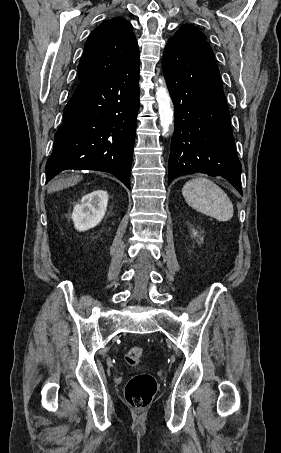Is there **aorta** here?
<instances>
[{
	"mask_svg": "<svg viewBox=\"0 0 281 453\" xmlns=\"http://www.w3.org/2000/svg\"><path fill=\"white\" fill-rule=\"evenodd\" d=\"M159 83L160 86L156 85V100L158 103L160 125L164 135L169 130V126L173 123L174 111L172 109V100L167 88L161 80H159Z\"/></svg>",
	"mask_w": 281,
	"mask_h": 453,
	"instance_id": "1",
	"label": "aorta"
}]
</instances>
